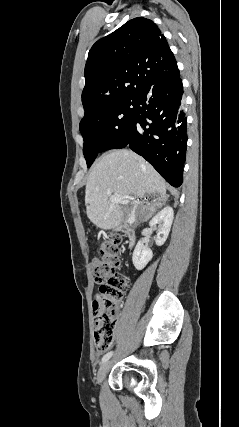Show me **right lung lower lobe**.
<instances>
[{
    "label": "right lung lower lobe",
    "instance_id": "obj_1",
    "mask_svg": "<svg viewBox=\"0 0 239 427\" xmlns=\"http://www.w3.org/2000/svg\"><path fill=\"white\" fill-rule=\"evenodd\" d=\"M179 76L160 81L137 96L129 138L120 147H130L144 157L174 187L183 181L187 147V118Z\"/></svg>",
    "mask_w": 239,
    "mask_h": 427
}]
</instances>
